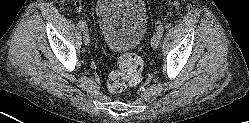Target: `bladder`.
Segmentation results:
<instances>
[{
	"label": "bladder",
	"instance_id": "bladder-1",
	"mask_svg": "<svg viewBox=\"0 0 249 123\" xmlns=\"http://www.w3.org/2000/svg\"><path fill=\"white\" fill-rule=\"evenodd\" d=\"M96 19L103 43L111 50L133 49L147 32L143 0H98Z\"/></svg>",
	"mask_w": 249,
	"mask_h": 123
}]
</instances>
